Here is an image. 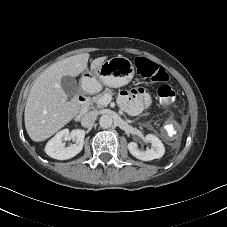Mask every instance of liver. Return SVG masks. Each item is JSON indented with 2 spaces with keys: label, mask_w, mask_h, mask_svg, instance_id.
Instances as JSON below:
<instances>
[{
  "label": "liver",
  "mask_w": 227,
  "mask_h": 227,
  "mask_svg": "<svg viewBox=\"0 0 227 227\" xmlns=\"http://www.w3.org/2000/svg\"><path fill=\"white\" fill-rule=\"evenodd\" d=\"M89 57L88 53H83L65 58L49 66L35 80L24 112L25 128L33 141L48 139L78 114L80 107L68 101L61 79L87 71ZM106 59V56L94 59L91 70L97 69Z\"/></svg>",
  "instance_id": "6515ba94"
}]
</instances>
